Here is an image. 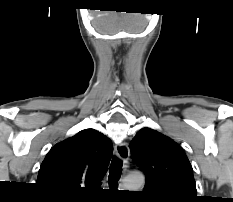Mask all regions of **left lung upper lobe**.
Here are the masks:
<instances>
[{"instance_id": "obj_1", "label": "left lung upper lobe", "mask_w": 233, "mask_h": 202, "mask_svg": "<svg viewBox=\"0 0 233 202\" xmlns=\"http://www.w3.org/2000/svg\"><path fill=\"white\" fill-rule=\"evenodd\" d=\"M134 162L144 171L149 202H196L192 166L180 145L156 130L142 128L130 143Z\"/></svg>"}]
</instances>
